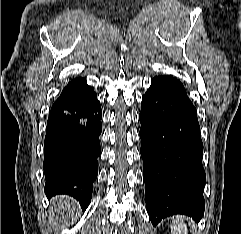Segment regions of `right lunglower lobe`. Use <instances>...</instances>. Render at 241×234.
Returning a JSON list of instances; mask_svg holds the SVG:
<instances>
[{
    "label": "right lung lower lobe",
    "mask_w": 241,
    "mask_h": 234,
    "mask_svg": "<svg viewBox=\"0 0 241 234\" xmlns=\"http://www.w3.org/2000/svg\"><path fill=\"white\" fill-rule=\"evenodd\" d=\"M101 119L100 103L86 79L69 82L47 121L43 163L47 196L68 194L82 210L88 207L98 173Z\"/></svg>",
    "instance_id": "obj_1"
}]
</instances>
